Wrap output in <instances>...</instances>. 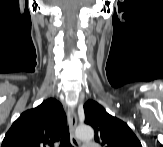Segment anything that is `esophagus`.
Instances as JSON below:
<instances>
[{"label": "esophagus", "mask_w": 163, "mask_h": 147, "mask_svg": "<svg viewBox=\"0 0 163 147\" xmlns=\"http://www.w3.org/2000/svg\"><path fill=\"white\" fill-rule=\"evenodd\" d=\"M67 116H68L69 123H70L71 143L73 144V146L78 147V146H80V141L75 136V129L77 126V115H76V112L72 106L68 107Z\"/></svg>", "instance_id": "esophagus-1"}]
</instances>
